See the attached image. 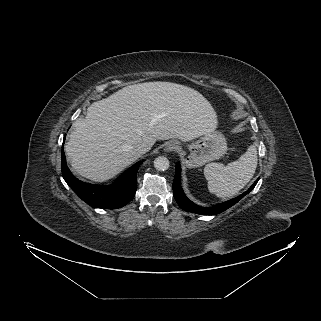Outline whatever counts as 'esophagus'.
I'll list each match as a JSON object with an SVG mask.
<instances>
[{
    "label": "esophagus",
    "instance_id": "1",
    "mask_svg": "<svg viewBox=\"0 0 321 321\" xmlns=\"http://www.w3.org/2000/svg\"><path fill=\"white\" fill-rule=\"evenodd\" d=\"M179 148V144L177 142L171 141L168 142L164 147V152H171L177 150Z\"/></svg>",
    "mask_w": 321,
    "mask_h": 321
}]
</instances>
